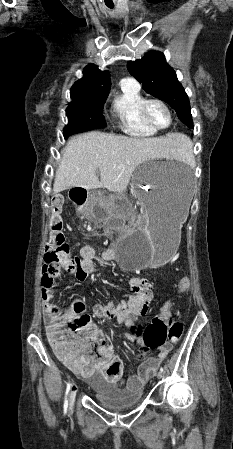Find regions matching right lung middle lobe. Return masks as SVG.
<instances>
[{
    "instance_id": "1",
    "label": "right lung middle lobe",
    "mask_w": 233,
    "mask_h": 449,
    "mask_svg": "<svg viewBox=\"0 0 233 449\" xmlns=\"http://www.w3.org/2000/svg\"><path fill=\"white\" fill-rule=\"evenodd\" d=\"M108 94L72 98L67 107L68 124L64 128V137L96 128L106 127L102 115Z\"/></svg>"
}]
</instances>
